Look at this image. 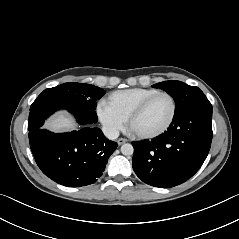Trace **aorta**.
<instances>
[{"mask_svg": "<svg viewBox=\"0 0 239 239\" xmlns=\"http://www.w3.org/2000/svg\"><path fill=\"white\" fill-rule=\"evenodd\" d=\"M134 152V148L131 144L126 143L121 146V153L125 156H130Z\"/></svg>", "mask_w": 239, "mask_h": 239, "instance_id": "aorta-1", "label": "aorta"}]
</instances>
